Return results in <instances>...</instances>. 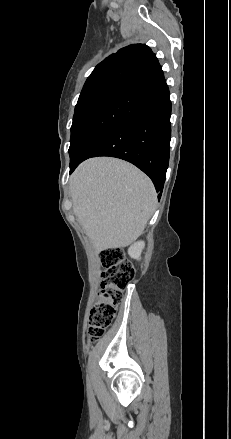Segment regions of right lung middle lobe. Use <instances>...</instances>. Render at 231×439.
Segmentation results:
<instances>
[{
  "mask_svg": "<svg viewBox=\"0 0 231 439\" xmlns=\"http://www.w3.org/2000/svg\"><path fill=\"white\" fill-rule=\"evenodd\" d=\"M140 112L135 94L107 95L75 107L69 148L70 163L76 161L101 132Z\"/></svg>",
  "mask_w": 231,
  "mask_h": 439,
  "instance_id": "right-lung-middle-lobe-1",
  "label": "right lung middle lobe"
}]
</instances>
